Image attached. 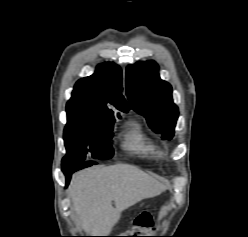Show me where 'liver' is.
Instances as JSON below:
<instances>
[{
	"instance_id": "obj_1",
	"label": "liver",
	"mask_w": 248,
	"mask_h": 237,
	"mask_svg": "<svg viewBox=\"0 0 248 237\" xmlns=\"http://www.w3.org/2000/svg\"><path fill=\"white\" fill-rule=\"evenodd\" d=\"M165 186L130 164L94 167L76 173L69 186L79 225L91 236H107L122 211ZM112 201L115 207L112 206Z\"/></svg>"
}]
</instances>
